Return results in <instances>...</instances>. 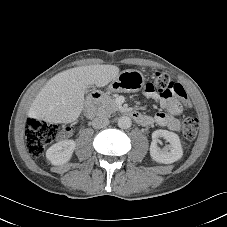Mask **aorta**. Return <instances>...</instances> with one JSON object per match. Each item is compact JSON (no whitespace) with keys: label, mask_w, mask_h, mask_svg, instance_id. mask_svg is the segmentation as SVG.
<instances>
[{"label":"aorta","mask_w":227,"mask_h":227,"mask_svg":"<svg viewBox=\"0 0 227 227\" xmlns=\"http://www.w3.org/2000/svg\"><path fill=\"white\" fill-rule=\"evenodd\" d=\"M132 125V121L131 118L128 116H121L118 119V126L122 129H128L129 127H131Z\"/></svg>","instance_id":"1"}]
</instances>
